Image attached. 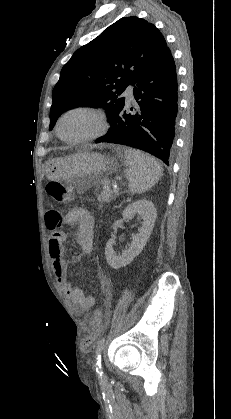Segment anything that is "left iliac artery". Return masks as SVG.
Returning <instances> with one entry per match:
<instances>
[{"instance_id": "1", "label": "left iliac artery", "mask_w": 231, "mask_h": 419, "mask_svg": "<svg viewBox=\"0 0 231 419\" xmlns=\"http://www.w3.org/2000/svg\"><path fill=\"white\" fill-rule=\"evenodd\" d=\"M104 343H105V337H103L99 341L97 345V349H96V372L98 373L99 376L103 374V371L101 370V353L104 347Z\"/></svg>"}]
</instances>
